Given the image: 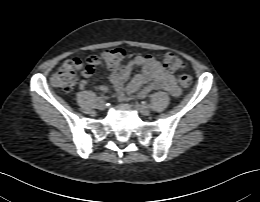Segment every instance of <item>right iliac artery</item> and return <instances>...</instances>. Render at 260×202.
Returning <instances> with one entry per match:
<instances>
[{"mask_svg":"<svg viewBox=\"0 0 260 202\" xmlns=\"http://www.w3.org/2000/svg\"><path fill=\"white\" fill-rule=\"evenodd\" d=\"M98 99L101 101V100H103V99H104V97H103V96H100Z\"/></svg>","mask_w":260,"mask_h":202,"instance_id":"82829eb1","label":"right iliac artery"}]
</instances>
